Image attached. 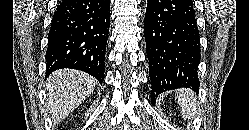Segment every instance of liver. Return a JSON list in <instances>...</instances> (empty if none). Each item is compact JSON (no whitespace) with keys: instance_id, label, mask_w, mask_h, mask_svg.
<instances>
[{"instance_id":"liver-1","label":"liver","mask_w":249,"mask_h":130,"mask_svg":"<svg viewBox=\"0 0 249 130\" xmlns=\"http://www.w3.org/2000/svg\"><path fill=\"white\" fill-rule=\"evenodd\" d=\"M95 79L81 71L62 69L47 79V111L56 124L68 116L95 88Z\"/></svg>"}]
</instances>
